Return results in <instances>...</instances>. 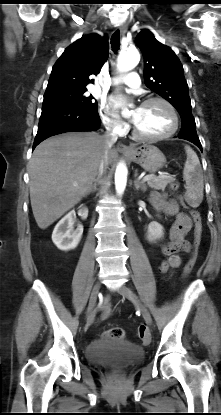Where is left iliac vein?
I'll return each mask as SVG.
<instances>
[{
    "mask_svg": "<svg viewBox=\"0 0 221 415\" xmlns=\"http://www.w3.org/2000/svg\"><path fill=\"white\" fill-rule=\"evenodd\" d=\"M117 291L121 295H123L124 297H126V298L130 299L131 301H133L138 306V308L140 309V311L142 313V316H143V318H144V320L147 324L150 325L152 323V318H151V315H150L149 311L147 310V308L140 302L138 297L134 293H132L127 286L122 285L117 289Z\"/></svg>",
    "mask_w": 221,
    "mask_h": 415,
    "instance_id": "4c4485c4",
    "label": "left iliac vein"
}]
</instances>
